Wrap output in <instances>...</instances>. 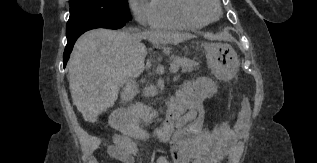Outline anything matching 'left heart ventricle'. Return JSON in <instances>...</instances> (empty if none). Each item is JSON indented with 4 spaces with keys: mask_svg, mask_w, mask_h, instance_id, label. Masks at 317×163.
Returning a JSON list of instances; mask_svg holds the SVG:
<instances>
[{
    "mask_svg": "<svg viewBox=\"0 0 317 163\" xmlns=\"http://www.w3.org/2000/svg\"><path fill=\"white\" fill-rule=\"evenodd\" d=\"M195 6L197 10L208 18L216 16V9L210 0H196Z\"/></svg>",
    "mask_w": 317,
    "mask_h": 163,
    "instance_id": "left-heart-ventricle-1",
    "label": "left heart ventricle"
}]
</instances>
